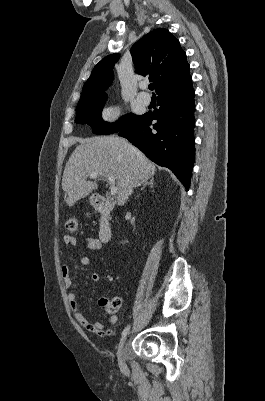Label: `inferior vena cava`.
Masks as SVG:
<instances>
[{"instance_id": "602c4592", "label": "inferior vena cava", "mask_w": 265, "mask_h": 401, "mask_svg": "<svg viewBox=\"0 0 265 401\" xmlns=\"http://www.w3.org/2000/svg\"><path fill=\"white\" fill-rule=\"evenodd\" d=\"M130 192H131V188H129V190H127V194H130Z\"/></svg>"}]
</instances>
